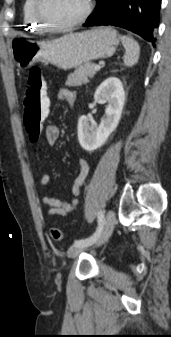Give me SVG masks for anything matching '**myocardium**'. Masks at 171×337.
Instances as JSON below:
<instances>
[{
    "mask_svg": "<svg viewBox=\"0 0 171 337\" xmlns=\"http://www.w3.org/2000/svg\"><path fill=\"white\" fill-rule=\"evenodd\" d=\"M44 3L45 0H36L35 3V13L38 21L50 31H63L67 29L74 28L84 22L92 11V2L91 0H85V8L83 12L74 20L66 23H54L47 18L44 13Z\"/></svg>",
    "mask_w": 171,
    "mask_h": 337,
    "instance_id": "myocardium-1",
    "label": "myocardium"
}]
</instances>
